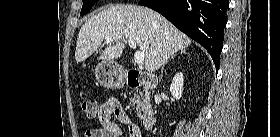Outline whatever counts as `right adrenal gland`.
<instances>
[{"mask_svg":"<svg viewBox=\"0 0 280 137\" xmlns=\"http://www.w3.org/2000/svg\"><path fill=\"white\" fill-rule=\"evenodd\" d=\"M180 53L186 54L185 49L181 50ZM173 56V55H172ZM162 73H163V69H162Z\"/></svg>","mask_w":280,"mask_h":137,"instance_id":"2a0ac1e0","label":"right adrenal gland"}]
</instances>
